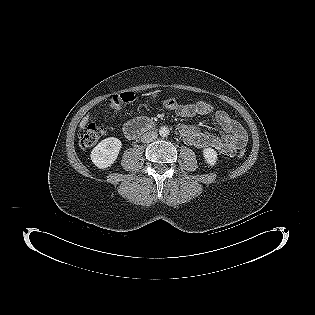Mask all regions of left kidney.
Returning a JSON list of instances; mask_svg holds the SVG:
<instances>
[{
  "label": "left kidney",
  "mask_w": 315,
  "mask_h": 315,
  "mask_svg": "<svg viewBox=\"0 0 315 315\" xmlns=\"http://www.w3.org/2000/svg\"><path fill=\"white\" fill-rule=\"evenodd\" d=\"M203 157H204L206 163L210 166L216 165V162L218 160L217 152L210 147L203 149Z\"/></svg>",
  "instance_id": "1"
}]
</instances>
